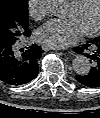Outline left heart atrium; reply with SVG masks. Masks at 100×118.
<instances>
[{"label":"left heart atrium","mask_w":100,"mask_h":118,"mask_svg":"<svg viewBox=\"0 0 100 118\" xmlns=\"http://www.w3.org/2000/svg\"><path fill=\"white\" fill-rule=\"evenodd\" d=\"M83 31L72 18L67 20L53 19L37 30V38L53 47H65L76 43Z\"/></svg>","instance_id":"1"}]
</instances>
